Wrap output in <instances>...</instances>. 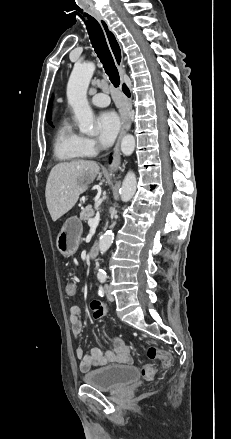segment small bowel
<instances>
[{"instance_id":"obj_1","label":"small bowel","mask_w":231,"mask_h":439,"mask_svg":"<svg viewBox=\"0 0 231 439\" xmlns=\"http://www.w3.org/2000/svg\"><path fill=\"white\" fill-rule=\"evenodd\" d=\"M70 325L74 337L77 339L83 328V312L80 306L70 308ZM112 348H92L85 352L82 347H77L75 355L79 360V369L86 372L91 368L103 367L112 363L129 364L131 362L130 349L123 339L112 338Z\"/></svg>"}]
</instances>
